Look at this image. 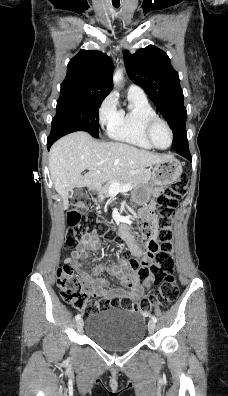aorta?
<instances>
[{
  "mask_svg": "<svg viewBox=\"0 0 228 396\" xmlns=\"http://www.w3.org/2000/svg\"><path fill=\"white\" fill-rule=\"evenodd\" d=\"M123 80V70H117L113 75V83L114 85H119Z\"/></svg>",
  "mask_w": 228,
  "mask_h": 396,
  "instance_id": "aorta-1",
  "label": "aorta"
}]
</instances>
